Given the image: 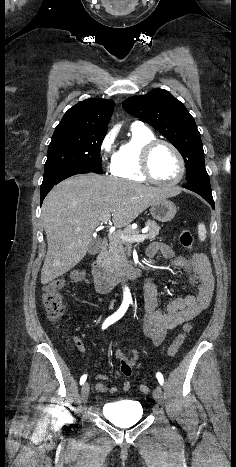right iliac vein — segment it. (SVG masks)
Instances as JSON below:
<instances>
[{"instance_id": "1", "label": "right iliac vein", "mask_w": 236, "mask_h": 467, "mask_svg": "<svg viewBox=\"0 0 236 467\" xmlns=\"http://www.w3.org/2000/svg\"><path fill=\"white\" fill-rule=\"evenodd\" d=\"M90 386L88 383H84L81 389V399L83 402H86L89 397Z\"/></svg>"}]
</instances>
